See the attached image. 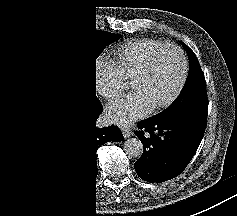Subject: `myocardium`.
Returning a JSON list of instances; mask_svg holds the SVG:
<instances>
[{
	"mask_svg": "<svg viewBox=\"0 0 237 216\" xmlns=\"http://www.w3.org/2000/svg\"><path fill=\"white\" fill-rule=\"evenodd\" d=\"M168 59H171L176 63L177 76L174 86L156 98V105L160 108L165 107L183 94L189 76V62L187 57L179 49L163 48L140 70V74L138 75V91L145 94L149 91L147 89V82L149 81L150 74L154 72L163 61Z\"/></svg>",
	"mask_w": 237,
	"mask_h": 216,
	"instance_id": "f54148a6",
	"label": "myocardium"
}]
</instances>
